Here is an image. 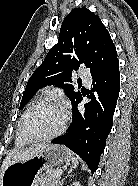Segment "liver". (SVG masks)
I'll return each mask as SVG.
<instances>
[{
	"label": "liver",
	"instance_id": "liver-1",
	"mask_svg": "<svg viewBox=\"0 0 138 186\" xmlns=\"http://www.w3.org/2000/svg\"><path fill=\"white\" fill-rule=\"evenodd\" d=\"M46 143L36 144L26 149L10 151L4 159L0 170V183L5 169L12 163L27 161L46 148Z\"/></svg>",
	"mask_w": 138,
	"mask_h": 186
}]
</instances>
